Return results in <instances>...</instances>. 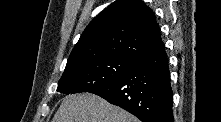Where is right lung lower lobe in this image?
Here are the masks:
<instances>
[{
  "label": "right lung lower lobe",
  "mask_w": 221,
  "mask_h": 122,
  "mask_svg": "<svg viewBox=\"0 0 221 122\" xmlns=\"http://www.w3.org/2000/svg\"><path fill=\"white\" fill-rule=\"evenodd\" d=\"M91 93L142 122H174L168 58L162 40L137 57L119 79Z\"/></svg>",
  "instance_id": "right-lung-lower-lobe-1"
}]
</instances>
